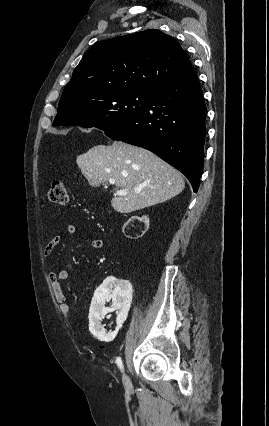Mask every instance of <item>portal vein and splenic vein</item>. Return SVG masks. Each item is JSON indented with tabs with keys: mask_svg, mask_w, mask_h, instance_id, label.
Listing matches in <instances>:
<instances>
[{
	"mask_svg": "<svg viewBox=\"0 0 269 426\" xmlns=\"http://www.w3.org/2000/svg\"><path fill=\"white\" fill-rule=\"evenodd\" d=\"M109 183H110L111 185H114V184H115V180H114V179H110V180H109ZM116 194H117V195H120V196H125V195H127V194H128V192H127V191H125V190H118V191L116 192Z\"/></svg>",
	"mask_w": 269,
	"mask_h": 426,
	"instance_id": "portal-vein-and-splenic-vein-1",
	"label": "portal vein and splenic vein"
}]
</instances>
